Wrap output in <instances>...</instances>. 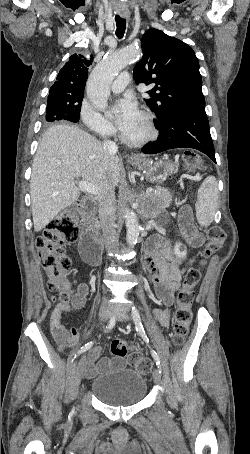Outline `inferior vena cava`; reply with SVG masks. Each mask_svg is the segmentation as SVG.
I'll list each match as a JSON object with an SVG mask.
<instances>
[{"label":"inferior vena cava","mask_w":250,"mask_h":454,"mask_svg":"<svg viewBox=\"0 0 250 454\" xmlns=\"http://www.w3.org/2000/svg\"><path fill=\"white\" fill-rule=\"evenodd\" d=\"M103 150L105 154L113 155L118 151L115 142L111 140H104ZM99 218L100 225L103 233V241L105 248L111 250L115 247L117 242V232L115 229V206L113 199V191L106 194L99 203Z\"/></svg>","instance_id":"1"}]
</instances>
